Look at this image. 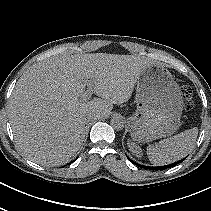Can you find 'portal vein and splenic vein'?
<instances>
[{
	"label": "portal vein and splenic vein",
	"instance_id": "obj_1",
	"mask_svg": "<svg viewBox=\"0 0 211 211\" xmlns=\"http://www.w3.org/2000/svg\"><path fill=\"white\" fill-rule=\"evenodd\" d=\"M87 90L86 92H84L82 95H81V99L82 100H88L91 95L93 94V87H92V84L90 82H87Z\"/></svg>",
	"mask_w": 211,
	"mask_h": 211
}]
</instances>
